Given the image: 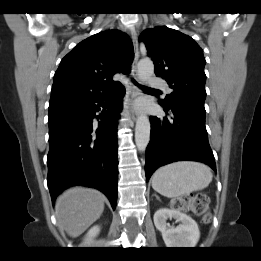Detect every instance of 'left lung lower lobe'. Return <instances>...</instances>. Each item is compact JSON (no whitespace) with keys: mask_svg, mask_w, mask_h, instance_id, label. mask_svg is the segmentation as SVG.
<instances>
[{"mask_svg":"<svg viewBox=\"0 0 261 261\" xmlns=\"http://www.w3.org/2000/svg\"><path fill=\"white\" fill-rule=\"evenodd\" d=\"M162 106L171 118L150 117L151 136L146 149V181L157 168L175 161H199L216 171L205 126V108L185 100Z\"/></svg>","mask_w":261,"mask_h":261,"instance_id":"obj_1","label":"left lung lower lobe"}]
</instances>
